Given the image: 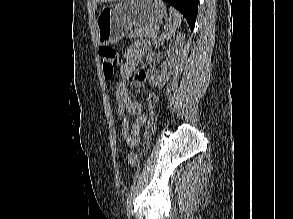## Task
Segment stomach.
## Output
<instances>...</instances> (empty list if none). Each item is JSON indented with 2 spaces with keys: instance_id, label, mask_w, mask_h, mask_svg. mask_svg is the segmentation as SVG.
<instances>
[{
  "instance_id": "stomach-1",
  "label": "stomach",
  "mask_w": 293,
  "mask_h": 219,
  "mask_svg": "<svg viewBox=\"0 0 293 219\" xmlns=\"http://www.w3.org/2000/svg\"><path fill=\"white\" fill-rule=\"evenodd\" d=\"M166 15V5L162 0H122L120 3L103 7L96 21L99 43H115L134 25L158 22Z\"/></svg>"
}]
</instances>
